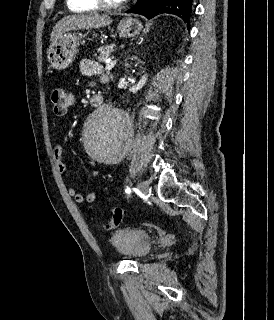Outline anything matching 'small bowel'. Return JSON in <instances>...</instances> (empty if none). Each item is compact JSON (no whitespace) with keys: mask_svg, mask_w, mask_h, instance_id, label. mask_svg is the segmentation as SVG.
<instances>
[{"mask_svg":"<svg viewBox=\"0 0 274 320\" xmlns=\"http://www.w3.org/2000/svg\"><path fill=\"white\" fill-rule=\"evenodd\" d=\"M81 72L85 75H88V76L97 75V74L101 73V68H100L99 64H97L96 62H93L91 60H83L81 62ZM103 80H106V78L103 77ZM63 150H64L63 141L61 138H58L55 143V146H54L53 158H54V163H55L56 169L61 174H65L67 171L66 165L63 161ZM99 174H100L99 170L93 171L94 176H98ZM67 192H68L69 196L73 197L75 202H77L79 204L92 203L99 196L98 191L81 193L73 185L68 187Z\"/></svg>","mask_w":274,"mask_h":320,"instance_id":"small-bowel-1","label":"small bowel"}]
</instances>
